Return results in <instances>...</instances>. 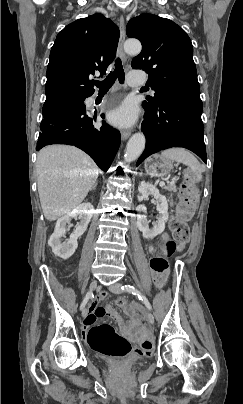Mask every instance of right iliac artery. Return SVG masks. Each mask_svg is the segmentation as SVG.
Wrapping results in <instances>:
<instances>
[{
	"instance_id": "obj_1",
	"label": "right iliac artery",
	"mask_w": 243,
	"mask_h": 404,
	"mask_svg": "<svg viewBox=\"0 0 243 404\" xmlns=\"http://www.w3.org/2000/svg\"><path fill=\"white\" fill-rule=\"evenodd\" d=\"M91 296H92V293H91V292H88V293L86 294L85 298L83 299V301H82V303H81L80 309H83V308L85 307L86 303H87L88 300L91 298Z\"/></svg>"
}]
</instances>
